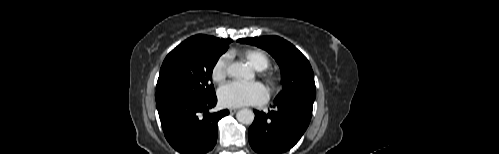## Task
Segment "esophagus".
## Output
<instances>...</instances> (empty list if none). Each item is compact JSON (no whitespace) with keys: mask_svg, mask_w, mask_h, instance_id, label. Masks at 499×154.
Here are the masks:
<instances>
[{"mask_svg":"<svg viewBox=\"0 0 499 154\" xmlns=\"http://www.w3.org/2000/svg\"><path fill=\"white\" fill-rule=\"evenodd\" d=\"M229 111L231 114H234L237 111V108H230Z\"/></svg>","mask_w":499,"mask_h":154,"instance_id":"obj_1","label":"esophagus"}]
</instances>
